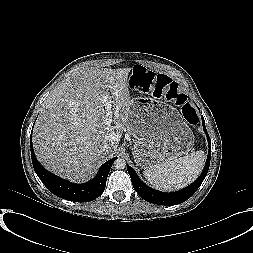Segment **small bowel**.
Returning a JSON list of instances; mask_svg holds the SVG:
<instances>
[{
    "label": "small bowel",
    "mask_w": 253,
    "mask_h": 253,
    "mask_svg": "<svg viewBox=\"0 0 253 253\" xmlns=\"http://www.w3.org/2000/svg\"><path fill=\"white\" fill-rule=\"evenodd\" d=\"M133 86L137 89L152 93L155 87V84L152 80H135L133 83Z\"/></svg>",
    "instance_id": "c3829d8e"
}]
</instances>
